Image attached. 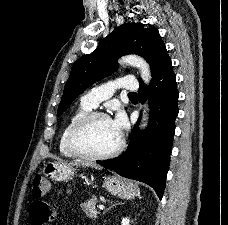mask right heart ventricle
I'll use <instances>...</instances> for the list:
<instances>
[{
    "label": "right heart ventricle",
    "instance_id": "right-heart-ventricle-1",
    "mask_svg": "<svg viewBox=\"0 0 228 225\" xmlns=\"http://www.w3.org/2000/svg\"><path fill=\"white\" fill-rule=\"evenodd\" d=\"M91 110H92V108L87 107L80 103V105L73 112V114L71 115L67 124L63 128V131H62L60 139H59V150H60V153L64 157H67V158H78L79 157L76 154H74L69 148V144H68L69 134H70L71 129L75 125V123L79 119H81L82 117H84L85 115L90 113Z\"/></svg>",
    "mask_w": 228,
    "mask_h": 225
}]
</instances>
